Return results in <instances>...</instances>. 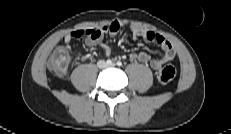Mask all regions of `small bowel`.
<instances>
[{"label":"small bowel","instance_id":"c3829d8e","mask_svg":"<svg viewBox=\"0 0 231 134\" xmlns=\"http://www.w3.org/2000/svg\"><path fill=\"white\" fill-rule=\"evenodd\" d=\"M120 26L121 25L118 21H113L109 25L97 29L76 30L68 33L64 37V41L68 43L74 39L86 36L85 45L87 47H94L102 41L105 34L116 36L120 30ZM132 32L135 38H141L149 43L159 45L162 53L158 59H152L151 55L146 52L131 53L130 59L137 60L142 63H149L154 70L161 69L163 64L175 59L176 53L171 43L161 35L152 31H142L136 28L133 29ZM102 49L106 55H109L110 49L108 46L103 45Z\"/></svg>","mask_w":231,"mask_h":134}]
</instances>
